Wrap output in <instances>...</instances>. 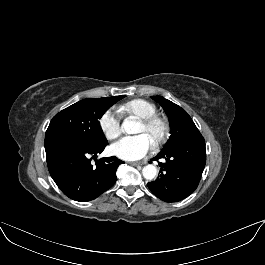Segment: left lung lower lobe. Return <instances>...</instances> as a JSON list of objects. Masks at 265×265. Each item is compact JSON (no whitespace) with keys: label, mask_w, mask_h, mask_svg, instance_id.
Segmentation results:
<instances>
[{"label":"left lung lower lobe","mask_w":265,"mask_h":265,"mask_svg":"<svg viewBox=\"0 0 265 265\" xmlns=\"http://www.w3.org/2000/svg\"><path fill=\"white\" fill-rule=\"evenodd\" d=\"M159 159H165L164 163ZM161 167V175L147 185L165 202L185 199L197 188L206 163L205 140L202 136L161 151L151 161Z\"/></svg>","instance_id":"1"}]
</instances>
